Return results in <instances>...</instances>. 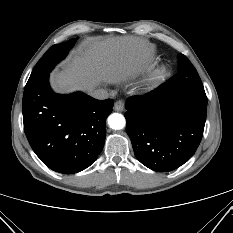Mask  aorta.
I'll use <instances>...</instances> for the list:
<instances>
[{
	"label": "aorta",
	"mask_w": 233,
	"mask_h": 233,
	"mask_svg": "<svg viewBox=\"0 0 233 233\" xmlns=\"http://www.w3.org/2000/svg\"><path fill=\"white\" fill-rule=\"evenodd\" d=\"M108 124L111 129L120 130L125 126V118L122 114L113 113L108 117Z\"/></svg>",
	"instance_id": "obj_1"
}]
</instances>
